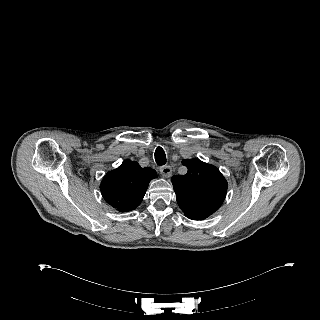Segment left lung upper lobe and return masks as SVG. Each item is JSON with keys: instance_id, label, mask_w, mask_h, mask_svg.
I'll return each mask as SVG.
<instances>
[{"instance_id": "left-lung-upper-lobe-1", "label": "left lung upper lobe", "mask_w": 320, "mask_h": 320, "mask_svg": "<svg viewBox=\"0 0 320 320\" xmlns=\"http://www.w3.org/2000/svg\"><path fill=\"white\" fill-rule=\"evenodd\" d=\"M182 164L188 172L171 179L178 205L187 217L204 220L222 205L227 181L215 166L199 159L183 160Z\"/></svg>"}]
</instances>
